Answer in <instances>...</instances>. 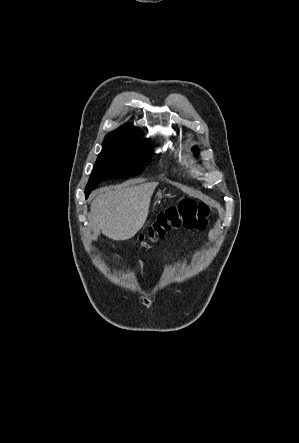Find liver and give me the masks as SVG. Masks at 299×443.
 I'll return each instance as SVG.
<instances>
[{"label": "liver", "mask_w": 299, "mask_h": 443, "mask_svg": "<svg viewBox=\"0 0 299 443\" xmlns=\"http://www.w3.org/2000/svg\"><path fill=\"white\" fill-rule=\"evenodd\" d=\"M157 185V182H148L101 189L90 207L94 236L97 237L101 231L116 241L134 237L146 222Z\"/></svg>", "instance_id": "1"}]
</instances>
